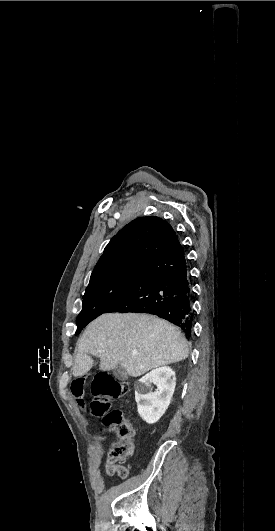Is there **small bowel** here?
<instances>
[{
  "mask_svg": "<svg viewBox=\"0 0 275 531\" xmlns=\"http://www.w3.org/2000/svg\"><path fill=\"white\" fill-rule=\"evenodd\" d=\"M133 449H134V447H131V454H132V452H133ZM131 454H130V455H131ZM103 472H104V474L108 475L106 466L104 467ZM128 476H129V475H121V477H125V478H127Z\"/></svg>",
  "mask_w": 275,
  "mask_h": 531,
  "instance_id": "1",
  "label": "small bowel"
}]
</instances>
